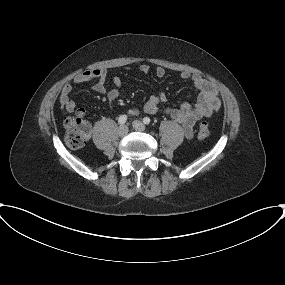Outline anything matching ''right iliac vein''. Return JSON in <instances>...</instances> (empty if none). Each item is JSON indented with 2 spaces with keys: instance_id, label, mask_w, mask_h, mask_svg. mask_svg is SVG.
<instances>
[{
  "instance_id": "1",
  "label": "right iliac vein",
  "mask_w": 285,
  "mask_h": 285,
  "mask_svg": "<svg viewBox=\"0 0 285 285\" xmlns=\"http://www.w3.org/2000/svg\"><path fill=\"white\" fill-rule=\"evenodd\" d=\"M127 133H128V128H127V126L121 125V126L118 128V134H119L121 137L125 136Z\"/></svg>"
}]
</instances>
